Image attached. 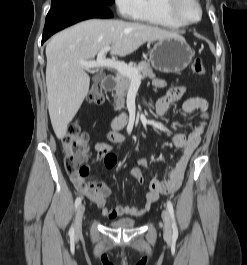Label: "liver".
<instances>
[{
  "instance_id": "liver-1",
  "label": "liver",
  "mask_w": 247,
  "mask_h": 265,
  "mask_svg": "<svg viewBox=\"0 0 247 265\" xmlns=\"http://www.w3.org/2000/svg\"><path fill=\"white\" fill-rule=\"evenodd\" d=\"M179 36L158 27L120 20L90 19L52 37L46 46L48 110L62 139L89 91L90 77L80 61H89L105 46L124 57L146 42Z\"/></svg>"
}]
</instances>
